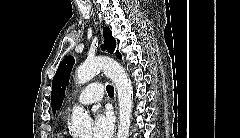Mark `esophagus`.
I'll use <instances>...</instances> for the list:
<instances>
[{
  "label": "esophagus",
  "instance_id": "esophagus-1",
  "mask_svg": "<svg viewBox=\"0 0 240 138\" xmlns=\"http://www.w3.org/2000/svg\"><path fill=\"white\" fill-rule=\"evenodd\" d=\"M114 99H115V112H116V114H117V102H116V93H115ZM115 129H116V127H115Z\"/></svg>",
  "mask_w": 240,
  "mask_h": 138
}]
</instances>
